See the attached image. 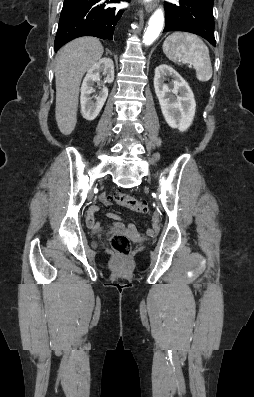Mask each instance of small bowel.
Listing matches in <instances>:
<instances>
[{"label": "small bowel", "instance_id": "small-bowel-1", "mask_svg": "<svg viewBox=\"0 0 254 397\" xmlns=\"http://www.w3.org/2000/svg\"><path fill=\"white\" fill-rule=\"evenodd\" d=\"M100 200H101V202H102L103 204H105V205H108V204L110 203V202H109V198H108V196H106V195L101 196ZM98 210H99V207H97V206H92V207H90V209H89V211H88V214H87V218H86V224H87V226H88L91 230L96 231V232H97V231H100V230L102 229L101 223H100L99 221H97L96 218H95V213H96ZM108 217L111 218V219H114V220H116V221H119V220H120V218H119L117 215L113 214V213H108ZM115 227H116L117 229H122V228H123V225H122L120 222H117V223L115 224ZM156 229H157V225L155 224V225H153V227H152L151 229H148V230H147V233H148L149 235H153L154 232L156 231Z\"/></svg>", "mask_w": 254, "mask_h": 397}]
</instances>
